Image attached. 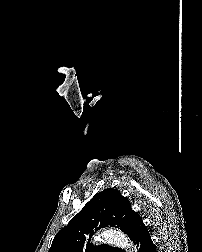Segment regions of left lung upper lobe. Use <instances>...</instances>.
Returning <instances> with one entry per match:
<instances>
[{
    "label": "left lung upper lobe",
    "instance_id": "left-lung-upper-lobe-1",
    "mask_svg": "<svg viewBox=\"0 0 202 252\" xmlns=\"http://www.w3.org/2000/svg\"><path fill=\"white\" fill-rule=\"evenodd\" d=\"M141 220L127 198L116 189L107 188L96 193L56 234L48 252H124L106 244L95 247L89 241L94 231L108 226L120 228L134 241V230Z\"/></svg>",
    "mask_w": 202,
    "mask_h": 252
}]
</instances>
